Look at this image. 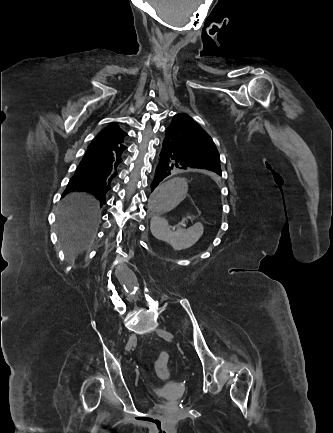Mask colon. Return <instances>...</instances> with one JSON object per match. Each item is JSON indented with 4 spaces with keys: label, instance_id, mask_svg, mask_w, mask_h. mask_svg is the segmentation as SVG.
Returning <instances> with one entry per match:
<instances>
[{
    "label": "colon",
    "instance_id": "1",
    "mask_svg": "<svg viewBox=\"0 0 333 433\" xmlns=\"http://www.w3.org/2000/svg\"><path fill=\"white\" fill-rule=\"evenodd\" d=\"M169 362L170 355L168 352L162 351L158 354L155 361V369L158 376L163 380H166L169 377Z\"/></svg>",
    "mask_w": 333,
    "mask_h": 433
}]
</instances>
